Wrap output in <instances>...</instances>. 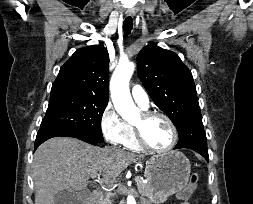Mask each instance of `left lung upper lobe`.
<instances>
[{
  "label": "left lung upper lobe",
  "instance_id": "5c2ea615",
  "mask_svg": "<svg viewBox=\"0 0 253 204\" xmlns=\"http://www.w3.org/2000/svg\"><path fill=\"white\" fill-rule=\"evenodd\" d=\"M137 70L150 97L171 119L178 134L201 116L191 71L176 53L151 43L138 53Z\"/></svg>",
  "mask_w": 253,
  "mask_h": 204
}]
</instances>
